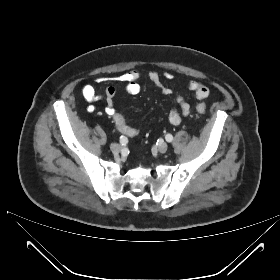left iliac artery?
Wrapping results in <instances>:
<instances>
[{
	"instance_id": "left-iliac-artery-1",
	"label": "left iliac artery",
	"mask_w": 280,
	"mask_h": 280,
	"mask_svg": "<svg viewBox=\"0 0 280 280\" xmlns=\"http://www.w3.org/2000/svg\"><path fill=\"white\" fill-rule=\"evenodd\" d=\"M165 139H166L167 142H172L173 141V136L171 134H167L165 136Z\"/></svg>"
}]
</instances>
